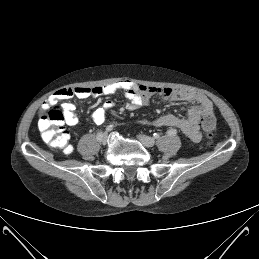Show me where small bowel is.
<instances>
[{"instance_id": "1", "label": "small bowel", "mask_w": 259, "mask_h": 259, "mask_svg": "<svg viewBox=\"0 0 259 259\" xmlns=\"http://www.w3.org/2000/svg\"><path fill=\"white\" fill-rule=\"evenodd\" d=\"M117 91L123 92L127 99V103L125 104V108L127 110H136L142 106L148 105L154 95H158L170 101L193 103L194 106L188 110L186 117H178L174 114H165L151 121H143L144 124L157 128L165 126L177 128L193 142H199L202 138L200 128L202 118L206 115L213 114V105L211 101L202 93L168 87H149L137 84L130 80H119L93 88H61L48 97L42 108L46 110L60 100H67L73 97L81 100L89 97L99 98L101 96L113 95ZM114 106V101L110 99L106 100L102 106L96 108L91 113L92 121L96 125H101L104 122L108 111H110ZM61 108L64 112L66 124L70 126L77 125L79 119L76 114V105L73 102H64L61 105Z\"/></svg>"}]
</instances>
